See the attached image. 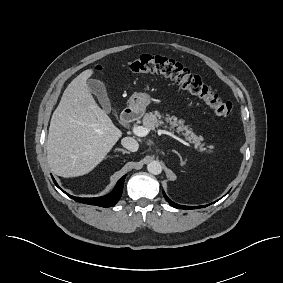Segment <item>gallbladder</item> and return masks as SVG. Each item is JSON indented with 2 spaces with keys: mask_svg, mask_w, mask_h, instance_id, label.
<instances>
[{
  "mask_svg": "<svg viewBox=\"0 0 283 283\" xmlns=\"http://www.w3.org/2000/svg\"><path fill=\"white\" fill-rule=\"evenodd\" d=\"M87 85L90 92L93 93L99 100L104 111L109 113L111 111V105L104 83L97 79H88Z\"/></svg>",
  "mask_w": 283,
  "mask_h": 283,
  "instance_id": "bac80fb5",
  "label": "gallbladder"
}]
</instances>
